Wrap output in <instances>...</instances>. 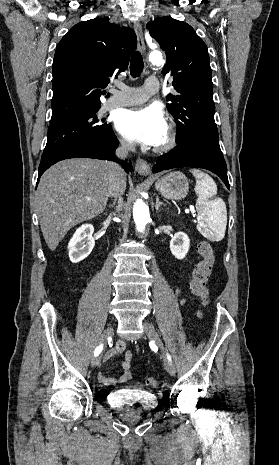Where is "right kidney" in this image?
Instances as JSON below:
<instances>
[{
    "instance_id": "obj_1",
    "label": "right kidney",
    "mask_w": 279,
    "mask_h": 465,
    "mask_svg": "<svg viewBox=\"0 0 279 465\" xmlns=\"http://www.w3.org/2000/svg\"><path fill=\"white\" fill-rule=\"evenodd\" d=\"M93 232L94 227L91 224H84L75 231L68 244L69 258L72 263H79L91 253L95 245Z\"/></svg>"
}]
</instances>
